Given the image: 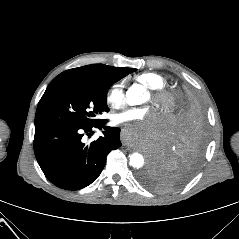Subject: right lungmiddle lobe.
<instances>
[{
  "label": "right lung middle lobe",
  "instance_id": "right-lung-middle-lobe-1",
  "mask_svg": "<svg viewBox=\"0 0 239 239\" xmlns=\"http://www.w3.org/2000/svg\"><path fill=\"white\" fill-rule=\"evenodd\" d=\"M121 78L123 76L52 80L38 103L35 126L41 124L88 126L102 121L97 119V116L109 111L106 102L107 92L110 86Z\"/></svg>",
  "mask_w": 239,
  "mask_h": 239
}]
</instances>
